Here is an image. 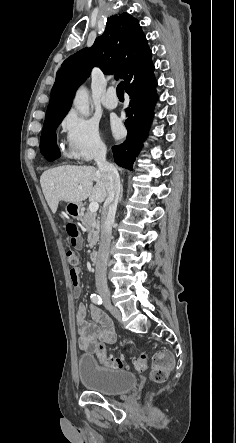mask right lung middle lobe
Instances as JSON below:
<instances>
[{
	"label": "right lung middle lobe",
	"mask_w": 236,
	"mask_h": 443,
	"mask_svg": "<svg viewBox=\"0 0 236 443\" xmlns=\"http://www.w3.org/2000/svg\"><path fill=\"white\" fill-rule=\"evenodd\" d=\"M65 115L66 112L45 120L40 139L41 152H44L47 149L57 146L55 130L58 127V125L61 123Z\"/></svg>",
	"instance_id": "right-lung-middle-lobe-1"
}]
</instances>
